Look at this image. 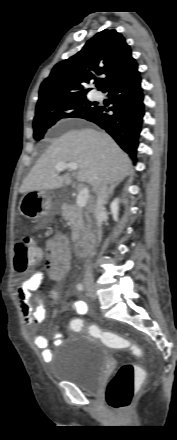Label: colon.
Wrapping results in <instances>:
<instances>
[{"instance_id": "colon-1", "label": "colon", "mask_w": 177, "mask_h": 440, "mask_svg": "<svg viewBox=\"0 0 177 440\" xmlns=\"http://www.w3.org/2000/svg\"><path fill=\"white\" fill-rule=\"evenodd\" d=\"M15 270L24 272L28 268L41 263L44 260V253L30 236L21 237L15 244ZM71 328L80 332L87 329L89 334L100 339L105 345L118 348L130 349L136 355L141 350L131 340L113 332L103 331L95 325H87L81 319L71 320ZM143 374L134 364H123L109 381L105 399L107 404L117 410L126 409L130 406L136 389L142 382Z\"/></svg>"}]
</instances>
